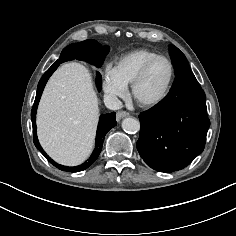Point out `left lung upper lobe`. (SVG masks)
Masks as SVG:
<instances>
[{
	"label": "left lung upper lobe",
	"instance_id": "5c2ea615",
	"mask_svg": "<svg viewBox=\"0 0 236 236\" xmlns=\"http://www.w3.org/2000/svg\"><path fill=\"white\" fill-rule=\"evenodd\" d=\"M169 54L175 66V74L190 69L185 55L174 45H169Z\"/></svg>",
	"mask_w": 236,
	"mask_h": 236
}]
</instances>
